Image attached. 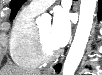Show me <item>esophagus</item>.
Here are the masks:
<instances>
[{
    "mask_svg": "<svg viewBox=\"0 0 102 75\" xmlns=\"http://www.w3.org/2000/svg\"><path fill=\"white\" fill-rule=\"evenodd\" d=\"M76 10L79 11V4L76 5ZM51 71V70H49Z\"/></svg>",
    "mask_w": 102,
    "mask_h": 75,
    "instance_id": "34e87169",
    "label": "esophagus"
}]
</instances>
